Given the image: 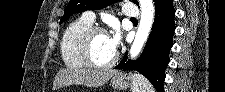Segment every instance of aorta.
Returning a JSON list of instances; mask_svg holds the SVG:
<instances>
[{"mask_svg": "<svg viewBox=\"0 0 225 92\" xmlns=\"http://www.w3.org/2000/svg\"><path fill=\"white\" fill-rule=\"evenodd\" d=\"M141 18L135 39L130 48V57L136 58L141 52L154 22L155 8L152 0H140Z\"/></svg>", "mask_w": 225, "mask_h": 92, "instance_id": "762f6f07", "label": "aorta"}]
</instances>
